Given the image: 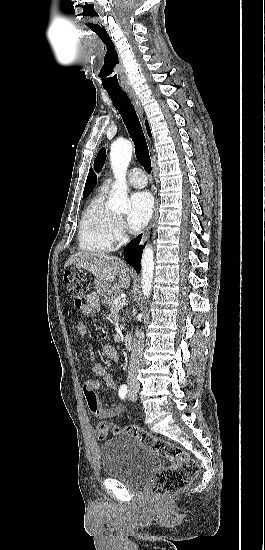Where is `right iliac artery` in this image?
<instances>
[{
  "mask_svg": "<svg viewBox=\"0 0 265 550\" xmlns=\"http://www.w3.org/2000/svg\"><path fill=\"white\" fill-rule=\"evenodd\" d=\"M127 385L123 384L120 386L119 388V396L121 399H125L126 397V394H127Z\"/></svg>",
  "mask_w": 265,
  "mask_h": 550,
  "instance_id": "82829eb1",
  "label": "right iliac artery"
}]
</instances>
